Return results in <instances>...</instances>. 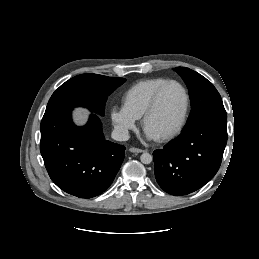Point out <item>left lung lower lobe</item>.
<instances>
[{
	"instance_id": "0a47b994",
	"label": "left lung lower lobe",
	"mask_w": 259,
	"mask_h": 259,
	"mask_svg": "<svg viewBox=\"0 0 259 259\" xmlns=\"http://www.w3.org/2000/svg\"><path fill=\"white\" fill-rule=\"evenodd\" d=\"M227 143V118L203 119L153 152L155 177L172 195L192 193L217 173Z\"/></svg>"
}]
</instances>
